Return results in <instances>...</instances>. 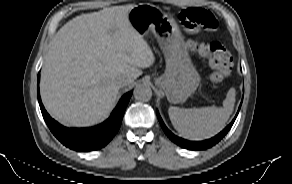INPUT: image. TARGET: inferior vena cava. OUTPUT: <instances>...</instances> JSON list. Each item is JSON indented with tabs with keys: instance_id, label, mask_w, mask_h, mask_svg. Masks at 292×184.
Masks as SVG:
<instances>
[{
	"instance_id": "1",
	"label": "inferior vena cava",
	"mask_w": 292,
	"mask_h": 184,
	"mask_svg": "<svg viewBox=\"0 0 292 184\" xmlns=\"http://www.w3.org/2000/svg\"><path fill=\"white\" fill-rule=\"evenodd\" d=\"M128 83H129V80L126 79V78H120V79H118V81H117V85H118L119 87H124V86H126Z\"/></svg>"
}]
</instances>
